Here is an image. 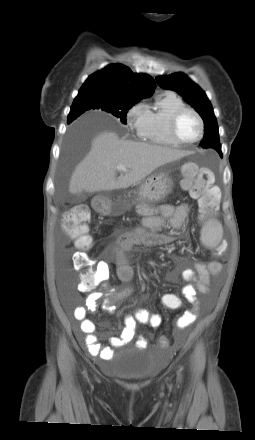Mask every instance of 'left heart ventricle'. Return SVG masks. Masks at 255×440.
I'll use <instances>...</instances> for the list:
<instances>
[{"mask_svg": "<svg viewBox=\"0 0 255 440\" xmlns=\"http://www.w3.org/2000/svg\"><path fill=\"white\" fill-rule=\"evenodd\" d=\"M177 131L183 140H194L199 134V123L197 118L189 112L183 114L179 120Z\"/></svg>", "mask_w": 255, "mask_h": 440, "instance_id": "1", "label": "left heart ventricle"}]
</instances>
